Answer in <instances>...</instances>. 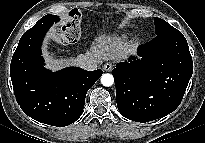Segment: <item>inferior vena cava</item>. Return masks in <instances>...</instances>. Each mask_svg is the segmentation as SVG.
<instances>
[{
	"instance_id": "inferior-vena-cava-1",
	"label": "inferior vena cava",
	"mask_w": 205,
	"mask_h": 143,
	"mask_svg": "<svg viewBox=\"0 0 205 143\" xmlns=\"http://www.w3.org/2000/svg\"><path fill=\"white\" fill-rule=\"evenodd\" d=\"M79 65L81 66V68L88 70V71H93L97 69V62L92 59L89 58L86 55H80L77 59Z\"/></svg>"
}]
</instances>
